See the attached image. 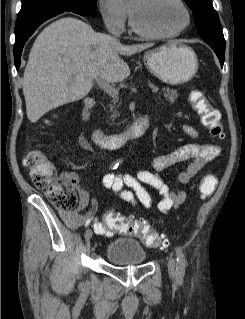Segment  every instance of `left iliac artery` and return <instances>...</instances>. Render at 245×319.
Segmentation results:
<instances>
[{"label":"left iliac artery","instance_id":"44dca946","mask_svg":"<svg viewBox=\"0 0 245 319\" xmlns=\"http://www.w3.org/2000/svg\"><path fill=\"white\" fill-rule=\"evenodd\" d=\"M177 268L176 273L179 278H183L185 274L186 259L181 247H176Z\"/></svg>","mask_w":245,"mask_h":319}]
</instances>
